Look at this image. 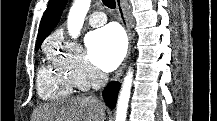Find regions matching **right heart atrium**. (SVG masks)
I'll list each match as a JSON object with an SVG mask.
<instances>
[{
    "mask_svg": "<svg viewBox=\"0 0 217 121\" xmlns=\"http://www.w3.org/2000/svg\"><path fill=\"white\" fill-rule=\"evenodd\" d=\"M46 52L79 90L85 91L102 83V74L91 66L79 44L54 37Z\"/></svg>",
    "mask_w": 217,
    "mask_h": 121,
    "instance_id": "right-heart-atrium-1",
    "label": "right heart atrium"
}]
</instances>
